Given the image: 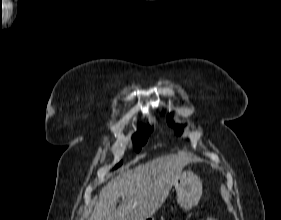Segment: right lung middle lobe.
<instances>
[{
  "label": "right lung middle lobe",
  "mask_w": 281,
  "mask_h": 220,
  "mask_svg": "<svg viewBox=\"0 0 281 220\" xmlns=\"http://www.w3.org/2000/svg\"><path fill=\"white\" fill-rule=\"evenodd\" d=\"M152 131L150 127H146L141 125L139 127L138 132L134 135V148L136 151L141 149V146L144 145L148 139L149 133ZM122 164V161L115 166V168L119 167Z\"/></svg>",
  "instance_id": "dd1d6c3e"
}]
</instances>
